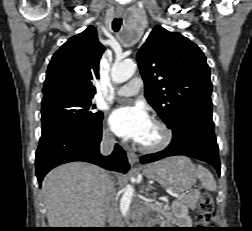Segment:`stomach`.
Masks as SVG:
<instances>
[{
	"label": "stomach",
	"instance_id": "0dacf381",
	"mask_svg": "<svg viewBox=\"0 0 252 231\" xmlns=\"http://www.w3.org/2000/svg\"><path fill=\"white\" fill-rule=\"evenodd\" d=\"M149 179L162 187L181 193L191 189L196 183V167L186 156H173L143 168Z\"/></svg>",
	"mask_w": 252,
	"mask_h": 231
}]
</instances>
